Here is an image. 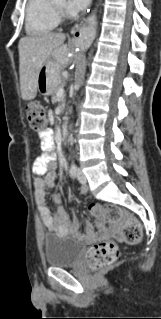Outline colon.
Here are the masks:
<instances>
[{"mask_svg": "<svg viewBox=\"0 0 161 319\" xmlns=\"http://www.w3.org/2000/svg\"><path fill=\"white\" fill-rule=\"evenodd\" d=\"M26 115L31 128L37 132L47 129V121L43 107L38 103H29L26 107ZM49 149L53 144L47 143ZM91 214L96 218H103L121 226L123 239L126 243H137L142 238L139 221L136 217L122 214L119 207L114 205H92ZM120 256L119 248L112 241L98 242L92 245L86 252V262L92 270H102L114 266Z\"/></svg>", "mask_w": 161, "mask_h": 319, "instance_id": "obj_1", "label": "colon"}]
</instances>
